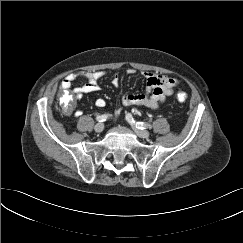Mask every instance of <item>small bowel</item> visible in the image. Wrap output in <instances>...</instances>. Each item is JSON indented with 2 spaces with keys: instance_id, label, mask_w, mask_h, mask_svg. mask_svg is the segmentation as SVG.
Instances as JSON below:
<instances>
[{
  "instance_id": "1",
  "label": "small bowel",
  "mask_w": 243,
  "mask_h": 243,
  "mask_svg": "<svg viewBox=\"0 0 243 243\" xmlns=\"http://www.w3.org/2000/svg\"><path fill=\"white\" fill-rule=\"evenodd\" d=\"M131 73V71L129 72ZM102 71H82L77 74H71L67 76L61 82V88L64 91L72 89L73 81L77 78L82 77L86 79L85 85L75 87L72 89V93L75 99H81L84 94L96 92L100 90L99 81L104 77ZM146 80V91L143 94H125L121 97L120 103L122 106H139L150 109L158 108L167 97L171 96L174 89L179 84V81L171 76L156 74L151 72H145ZM112 84L115 87L120 85V79L115 75L112 79ZM95 105L102 108L106 105L103 98H98L95 101ZM120 114V110L117 111L116 115Z\"/></svg>"
}]
</instances>
